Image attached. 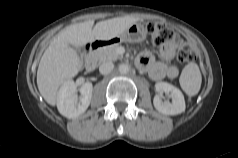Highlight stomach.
Here are the masks:
<instances>
[{
  "label": "stomach",
  "mask_w": 238,
  "mask_h": 158,
  "mask_svg": "<svg viewBox=\"0 0 238 158\" xmlns=\"http://www.w3.org/2000/svg\"><path fill=\"white\" fill-rule=\"evenodd\" d=\"M147 31L144 26L140 23H134L125 29L122 33L116 37L109 39L111 43L119 42H132L138 43L142 42L146 38Z\"/></svg>",
  "instance_id": "obj_1"
}]
</instances>
